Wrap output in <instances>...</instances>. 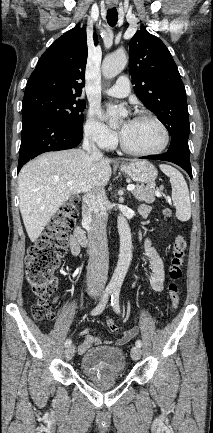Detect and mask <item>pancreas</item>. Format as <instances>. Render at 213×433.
Masks as SVG:
<instances>
[{
    "instance_id": "cf45deb5",
    "label": "pancreas",
    "mask_w": 213,
    "mask_h": 433,
    "mask_svg": "<svg viewBox=\"0 0 213 433\" xmlns=\"http://www.w3.org/2000/svg\"><path fill=\"white\" fill-rule=\"evenodd\" d=\"M155 185L149 184L147 186L137 185L132 191L133 195L139 201H144L146 203H153L155 201Z\"/></svg>"
}]
</instances>
